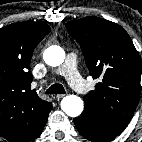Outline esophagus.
I'll list each match as a JSON object with an SVG mask.
<instances>
[{
	"label": "esophagus",
	"mask_w": 142,
	"mask_h": 142,
	"mask_svg": "<svg viewBox=\"0 0 142 142\" xmlns=\"http://www.w3.org/2000/svg\"><path fill=\"white\" fill-rule=\"evenodd\" d=\"M65 96V94H57L56 96H55V98H56V100H60V99H62L63 97Z\"/></svg>",
	"instance_id": "34e87169"
}]
</instances>
